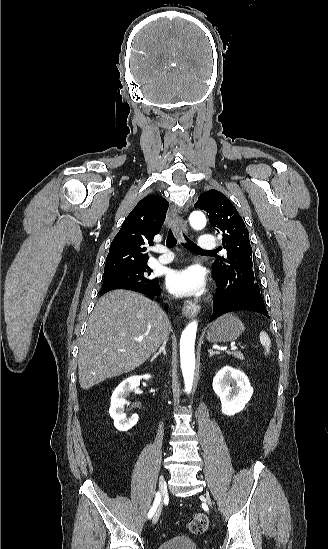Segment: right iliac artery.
Returning a JSON list of instances; mask_svg holds the SVG:
<instances>
[{
	"label": "right iliac artery",
	"mask_w": 328,
	"mask_h": 549,
	"mask_svg": "<svg viewBox=\"0 0 328 549\" xmlns=\"http://www.w3.org/2000/svg\"><path fill=\"white\" fill-rule=\"evenodd\" d=\"M160 500H161V495L159 492L156 493V496H155V500H154V503H153V506L151 507V509L149 510V513H148V518L150 519L154 513L156 512V509L160 503Z\"/></svg>",
	"instance_id": "right-iliac-artery-1"
}]
</instances>
